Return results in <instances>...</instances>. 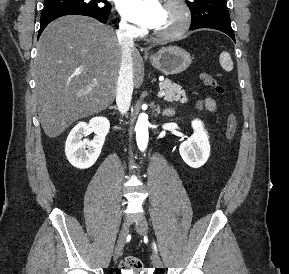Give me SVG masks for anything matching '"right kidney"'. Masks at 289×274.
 <instances>
[{"label":"right kidney","mask_w":289,"mask_h":274,"mask_svg":"<svg viewBox=\"0 0 289 274\" xmlns=\"http://www.w3.org/2000/svg\"><path fill=\"white\" fill-rule=\"evenodd\" d=\"M110 129V122L106 117H94L88 123L79 122L69 133L65 153L68 161L76 168H90L97 161L106 135ZM89 132L96 135L93 140H82Z\"/></svg>","instance_id":"right-kidney-1"}]
</instances>
